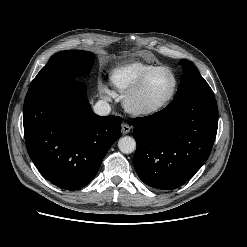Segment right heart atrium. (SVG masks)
Returning <instances> with one entry per match:
<instances>
[{
    "instance_id": "d8ad5b80",
    "label": "right heart atrium",
    "mask_w": 247,
    "mask_h": 247,
    "mask_svg": "<svg viewBox=\"0 0 247 247\" xmlns=\"http://www.w3.org/2000/svg\"><path fill=\"white\" fill-rule=\"evenodd\" d=\"M102 92L106 97H111L112 96V92L107 88V87H103L102 88Z\"/></svg>"
}]
</instances>
